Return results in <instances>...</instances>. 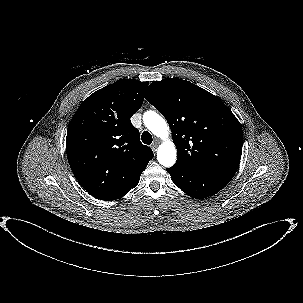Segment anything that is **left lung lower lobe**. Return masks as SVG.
I'll list each match as a JSON object with an SVG mask.
<instances>
[{
    "instance_id": "0a47b994",
    "label": "left lung lower lobe",
    "mask_w": 303,
    "mask_h": 303,
    "mask_svg": "<svg viewBox=\"0 0 303 303\" xmlns=\"http://www.w3.org/2000/svg\"><path fill=\"white\" fill-rule=\"evenodd\" d=\"M173 183L189 196L204 199L223 189L232 179L235 170L224 168L186 169L178 166L168 168Z\"/></svg>"
}]
</instances>
